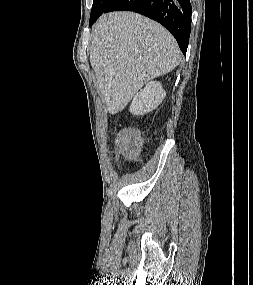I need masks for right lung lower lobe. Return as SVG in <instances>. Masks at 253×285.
<instances>
[{
    "label": "right lung lower lobe",
    "mask_w": 253,
    "mask_h": 285,
    "mask_svg": "<svg viewBox=\"0 0 253 285\" xmlns=\"http://www.w3.org/2000/svg\"><path fill=\"white\" fill-rule=\"evenodd\" d=\"M117 10L134 11L161 23L186 54L192 14L189 0H113L103 13ZM96 20L90 21V25Z\"/></svg>",
    "instance_id": "obj_1"
}]
</instances>
